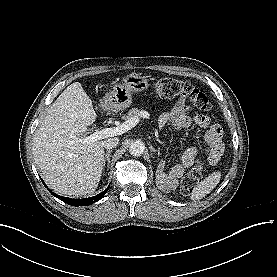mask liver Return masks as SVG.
Returning a JSON list of instances; mask_svg holds the SVG:
<instances>
[{
	"label": "liver",
	"mask_w": 277,
	"mask_h": 277,
	"mask_svg": "<svg viewBox=\"0 0 277 277\" xmlns=\"http://www.w3.org/2000/svg\"><path fill=\"white\" fill-rule=\"evenodd\" d=\"M100 101L102 107L111 110L104 99ZM96 116L81 83L74 82L50 106L35 131V163L56 193L81 197L97 188L103 171L104 141L80 140Z\"/></svg>",
	"instance_id": "1"
}]
</instances>
